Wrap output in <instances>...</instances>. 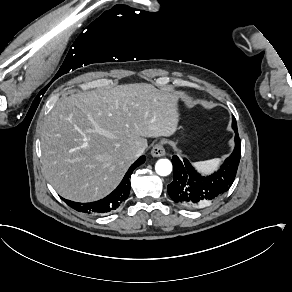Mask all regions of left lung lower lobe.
<instances>
[{"instance_id": "1", "label": "left lung lower lobe", "mask_w": 292, "mask_h": 292, "mask_svg": "<svg viewBox=\"0 0 292 292\" xmlns=\"http://www.w3.org/2000/svg\"><path fill=\"white\" fill-rule=\"evenodd\" d=\"M241 157V141L235 134V148L220 169L201 176L187 159L173 156V181L167 186L171 199L188 209H199L218 201L232 185Z\"/></svg>"}]
</instances>
